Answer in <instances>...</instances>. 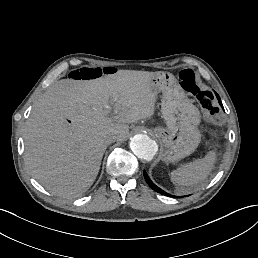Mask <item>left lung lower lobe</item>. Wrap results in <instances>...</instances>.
Listing matches in <instances>:
<instances>
[{"instance_id": "left-lung-lower-lobe-1", "label": "left lung lower lobe", "mask_w": 258, "mask_h": 258, "mask_svg": "<svg viewBox=\"0 0 258 258\" xmlns=\"http://www.w3.org/2000/svg\"><path fill=\"white\" fill-rule=\"evenodd\" d=\"M216 96H217V99L220 103V105L223 107L222 103H221V100H220V97L219 95L216 93ZM144 178L146 180V182L148 183V185L153 189L155 190L156 192L160 193V194H163V195H166V196H170V197H177V196H172L168 193H166L165 191H163L162 189H160L159 187H157L151 180L150 178L148 177V175L146 174V172L144 171Z\"/></svg>"}]
</instances>
